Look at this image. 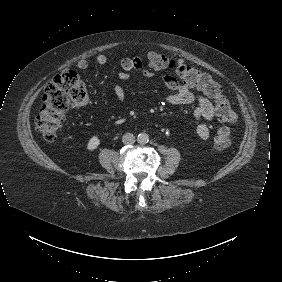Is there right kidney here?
I'll use <instances>...</instances> for the list:
<instances>
[{"label":"right kidney","mask_w":282,"mask_h":282,"mask_svg":"<svg viewBox=\"0 0 282 282\" xmlns=\"http://www.w3.org/2000/svg\"><path fill=\"white\" fill-rule=\"evenodd\" d=\"M101 144V139L97 136L94 135L86 143V150L89 152L95 151L96 149L99 148Z\"/></svg>","instance_id":"obj_1"}]
</instances>
